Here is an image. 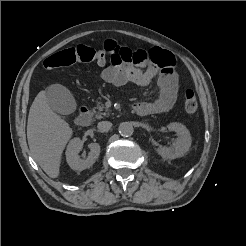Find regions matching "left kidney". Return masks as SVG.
<instances>
[{
  "label": "left kidney",
  "instance_id": "obj_1",
  "mask_svg": "<svg viewBox=\"0 0 246 246\" xmlns=\"http://www.w3.org/2000/svg\"><path fill=\"white\" fill-rule=\"evenodd\" d=\"M167 128L169 131H175L178 138L171 147L159 146L156 152L164 159H175L187 154L192 143L189 130L177 122L169 123Z\"/></svg>",
  "mask_w": 246,
  "mask_h": 246
}]
</instances>
